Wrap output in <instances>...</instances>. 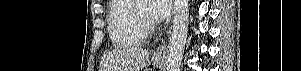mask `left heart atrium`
Wrapping results in <instances>:
<instances>
[{"mask_svg": "<svg viewBox=\"0 0 301 71\" xmlns=\"http://www.w3.org/2000/svg\"><path fill=\"white\" fill-rule=\"evenodd\" d=\"M172 8L171 0H150L149 16L155 22L164 21L170 14Z\"/></svg>", "mask_w": 301, "mask_h": 71, "instance_id": "left-heart-atrium-1", "label": "left heart atrium"}]
</instances>
